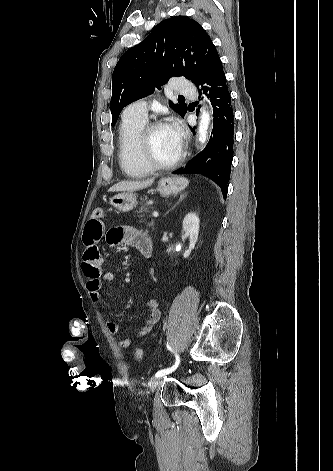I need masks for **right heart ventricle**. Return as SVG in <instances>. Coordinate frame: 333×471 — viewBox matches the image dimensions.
I'll use <instances>...</instances> for the list:
<instances>
[{
  "label": "right heart ventricle",
  "mask_w": 333,
  "mask_h": 471,
  "mask_svg": "<svg viewBox=\"0 0 333 471\" xmlns=\"http://www.w3.org/2000/svg\"><path fill=\"white\" fill-rule=\"evenodd\" d=\"M146 120L123 116L118 131V160L122 171L131 178H143L154 169L143 159L139 136Z\"/></svg>",
  "instance_id": "e07e8e85"
}]
</instances>
